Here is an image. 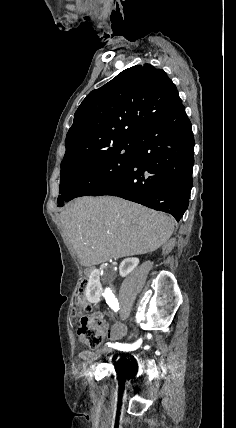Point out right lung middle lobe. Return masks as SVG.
<instances>
[{
  "label": "right lung middle lobe",
  "instance_id": "1",
  "mask_svg": "<svg viewBox=\"0 0 236 428\" xmlns=\"http://www.w3.org/2000/svg\"><path fill=\"white\" fill-rule=\"evenodd\" d=\"M134 157L135 140H126L61 169L58 206L104 188L130 166Z\"/></svg>",
  "mask_w": 236,
  "mask_h": 428
}]
</instances>
